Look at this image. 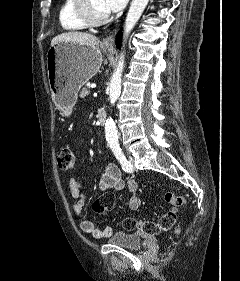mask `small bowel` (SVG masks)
I'll return each mask as SVG.
<instances>
[{
  "mask_svg": "<svg viewBox=\"0 0 240 281\" xmlns=\"http://www.w3.org/2000/svg\"><path fill=\"white\" fill-rule=\"evenodd\" d=\"M69 193L74 199L72 204L73 214L79 218L80 228L83 232L91 234L96 239L109 237L112 234L110 227L97 228L92 221L84 219L85 194L82 190L81 181L77 177L69 180ZM127 187L130 192L128 206L130 209H137L141 205V198L138 194V185L132 177L122 178L120 169L115 164H108L99 181V189L102 192L110 190L122 191Z\"/></svg>",
  "mask_w": 240,
  "mask_h": 281,
  "instance_id": "obj_1",
  "label": "small bowel"
}]
</instances>
